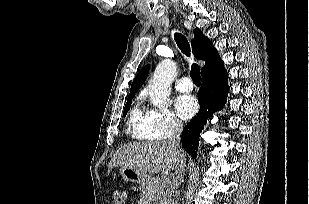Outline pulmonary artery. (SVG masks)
Here are the masks:
<instances>
[{
  "instance_id": "e3ab8cb5",
  "label": "pulmonary artery",
  "mask_w": 309,
  "mask_h": 204,
  "mask_svg": "<svg viewBox=\"0 0 309 204\" xmlns=\"http://www.w3.org/2000/svg\"><path fill=\"white\" fill-rule=\"evenodd\" d=\"M175 87L179 92H190L193 90V82L189 77H182L176 82Z\"/></svg>"
}]
</instances>
